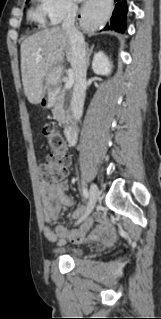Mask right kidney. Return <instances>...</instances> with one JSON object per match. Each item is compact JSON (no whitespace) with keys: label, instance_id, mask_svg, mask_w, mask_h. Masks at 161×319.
I'll use <instances>...</instances> for the list:
<instances>
[{"label":"right kidney","instance_id":"ca27d5eb","mask_svg":"<svg viewBox=\"0 0 161 319\" xmlns=\"http://www.w3.org/2000/svg\"><path fill=\"white\" fill-rule=\"evenodd\" d=\"M111 68L112 64L102 51H99L94 55L92 69L95 74L108 75L111 73Z\"/></svg>","mask_w":161,"mask_h":319}]
</instances>
